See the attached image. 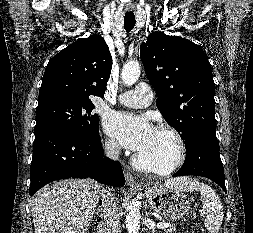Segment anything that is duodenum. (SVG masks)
<instances>
[{"instance_id": "1", "label": "duodenum", "mask_w": 253, "mask_h": 233, "mask_svg": "<svg viewBox=\"0 0 253 233\" xmlns=\"http://www.w3.org/2000/svg\"><path fill=\"white\" fill-rule=\"evenodd\" d=\"M105 230V226L102 224L100 225V231H104Z\"/></svg>"}]
</instances>
